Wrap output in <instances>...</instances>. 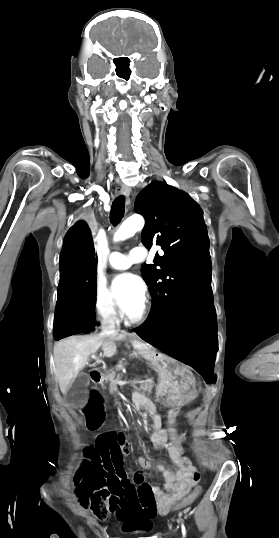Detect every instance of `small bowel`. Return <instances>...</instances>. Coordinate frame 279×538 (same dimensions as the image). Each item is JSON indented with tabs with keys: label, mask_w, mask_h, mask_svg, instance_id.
Segmentation results:
<instances>
[{
	"label": "small bowel",
	"mask_w": 279,
	"mask_h": 538,
	"mask_svg": "<svg viewBox=\"0 0 279 538\" xmlns=\"http://www.w3.org/2000/svg\"><path fill=\"white\" fill-rule=\"evenodd\" d=\"M177 414V407H171L169 409L167 413V428H162L161 417L155 415L152 422V433L150 435V441L155 448L168 452L175 465V470L171 471L166 469L163 464L153 463L141 457L138 458V464L141 467L161 473L163 476L164 487H155L156 503L159 509H163L177 499H180L196 484V482L186 480L181 472L180 454L182 448L178 441V433L173 427ZM118 517L121 520L126 519V516L123 515H118ZM151 525V517L131 518L125 524V529L148 531Z\"/></svg>",
	"instance_id": "obj_1"
}]
</instances>
